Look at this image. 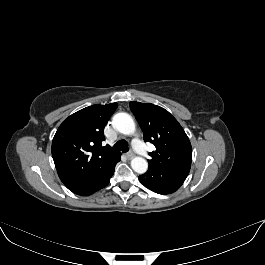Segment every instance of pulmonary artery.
<instances>
[{
  "label": "pulmonary artery",
  "mask_w": 265,
  "mask_h": 265,
  "mask_svg": "<svg viewBox=\"0 0 265 265\" xmlns=\"http://www.w3.org/2000/svg\"><path fill=\"white\" fill-rule=\"evenodd\" d=\"M133 148L141 155H148L149 151L148 149L145 147V145L143 144V142L139 139H134L133 142Z\"/></svg>",
  "instance_id": "1"
}]
</instances>
